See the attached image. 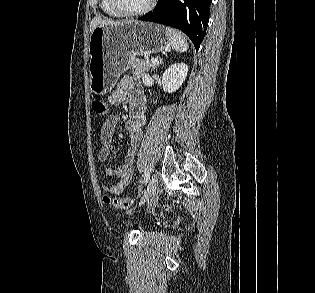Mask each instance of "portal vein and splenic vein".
Segmentation results:
<instances>
[{"label": "portal vein and splenic vein", "mask_w": 315, "mask_h": 293, "mask_svg": "<svg viewBox=\"0 0 315 293\" xmlns=\"http://www.w3.org/2000/svg\"><path fill=\"white\" fill-rule=\"evenodd\" d=\"M151 63L153 65H158L159 64V61L157 59H151Z\"/></svg>", "instance_id": "1"}]
</instances>
